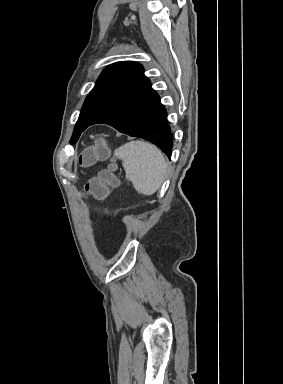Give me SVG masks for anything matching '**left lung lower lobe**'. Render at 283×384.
Returning <instances> with one entry per match:
<instances>
[{
	"mask_svg": "<svg viewBox=\"0 0 283 384\" xmlns=\"http://www.w3.org/2000/svg\"><path fill=\"white\" fill-rule=\"evenodd\" d=\"M96 123L109 124L121 133L146 139L156 144L169 159L171 158L173 145L167 112L160 103L159 95L152 89L149 79L134 88L110 110L90 122L87 127Z\"/></svg>",
	"mask_w": 283,
	"mask_h": 384,
	"instance_id": "left-lung-lower-lobe-1",
	"label": "left lung lower lobe"
}]
</instances>
